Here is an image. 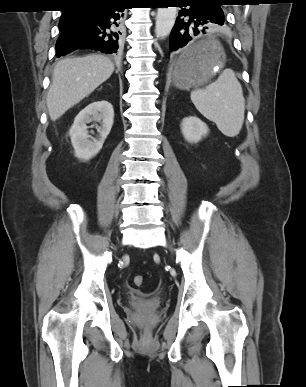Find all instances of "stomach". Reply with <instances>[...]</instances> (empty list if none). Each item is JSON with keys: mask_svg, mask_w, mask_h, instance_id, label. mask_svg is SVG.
Returning <instances> with one entry per match:
<instances>
[{"mask_svg": "<svg viewBox=\"0 0 306 387\" xmlns=\"http://www.w3.org/2000/svg\"><path fill=\"white\" fill-rule=\"evenodd\" d=\"M194 49H201L202 54L192 57L190 62L183 64L182 57ZM226 55L222 47L212 37L199 41L187 49L176 61L173 68V83L182 90L206 84L214 75L216 67L222 68Z\"/></svg>", "mask_w": 306, "mask_h": 387, "instance_id": "0dacf381", "label": "stomach"}]
</instances>
